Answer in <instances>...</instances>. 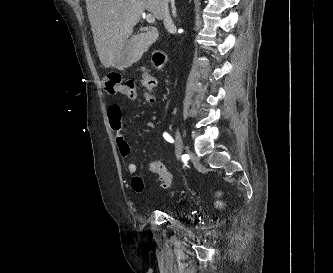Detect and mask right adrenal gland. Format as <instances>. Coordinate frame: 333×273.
<instances>
[{
  "label": "right adrenal gland",
  "mask_w": 333,
  "mask_h": 273,
  "mask_svg": "<svg viewBox=\"0 0 333 273\" xmlns=\"http://www.w3.org/2000/svg\"><path fill=\"white\" fill-rule=\"evenodd\" d=\"M170 3H171V8H172V16H173V18H176L177 17V9H176V6H175V0H170Z\"/></svg>",
  "instance_id": "1"
}]
</instances>
